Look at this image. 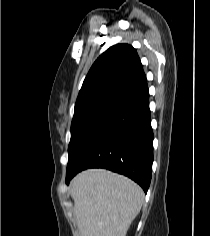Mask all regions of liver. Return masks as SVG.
<instances>
[{"label":"liver","instance_id":"1","mask_svg":"<svg viewBox=\"0 0 210 236\" xmlns=\"http://www.w3.org/2000/svg\"><path fill=\"white\" fill-rule=\"evenodd\" d=\"M70 194L80 236H125L144 201L139 185L104 169L79 173Z\"/></svg>","mask_w":210,"mask_h":236}]
</instances>
